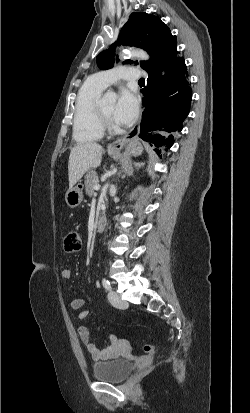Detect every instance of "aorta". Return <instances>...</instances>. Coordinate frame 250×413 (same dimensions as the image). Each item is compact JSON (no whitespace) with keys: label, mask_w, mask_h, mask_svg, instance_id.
Listing matches in <instances>:
<instances>
[{"label":"aorta","mask_w":250,"mask_h":413,"mask_svg":"<svg viewBox=\"0 0 250 413\" xmlns=\"http://www.w3.org/2000/svg\"><path fill=\"white\" fill-rule=\"evenodd\" d=\"M138 58L142 60H148L149 55L142 49H130V50H125L123 53L120 55V58L122 59H127V58ZM116 100V94L113 92H107L104 95V101H109V102H114Z\"/></svg>","instance_id":"obj_1"}]
</instances>
